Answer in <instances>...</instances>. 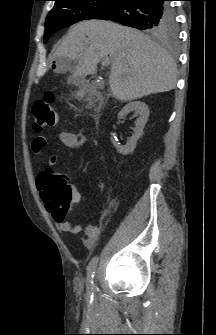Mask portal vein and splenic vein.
I'll list each match as a JSON object with an SVG mask.
<instances>
[{"mask_svg": "<svg viewBox=\"0 0 216 335\" xmlns=\"http://www.w3.org/2000/svg\"><path fill=\"white\" fill-rule=\"evenodd\" d=\"M102 63L105 65V64H109L110 63V60L109 59H104L103 61H102Z\"/></svg>", "mask_w": 216, "mask_h": 335, "instance_id": "18ae733b", "label": "portal vein and splenic vein"}]
</instances>
